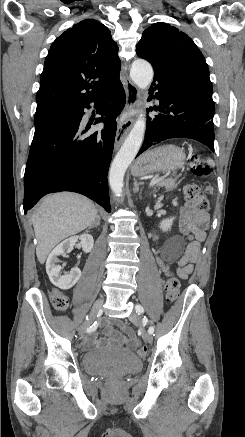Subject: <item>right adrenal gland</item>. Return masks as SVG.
<instances>
[{
  "mask_svg": "<svg viewBox=\"0 0 245 437\" xmlns=\"http://www.w3.org/2000/svg\"><path fill=\"white\" fill-rule=\"evenodd\" d=\"M100 219H101L100 216L97 215V218H96L95 222L89 227V229H91L93 227L99 226L100 225Z\"/></svg>",
  "mask_w": 245,
  "mask_h": 437,
  "instance_id": "2a0ac1e0",
  "label": "right adrenal gland"
}]
</instances>
